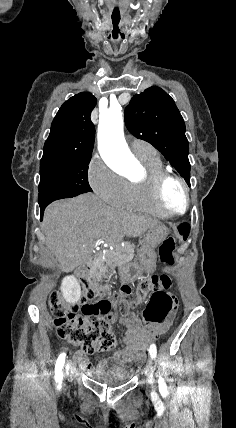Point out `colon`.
<instances>
[{
  "label": "colon",
  "instance_id": "obj_1",
  "mask_svg": "<svg viewBox=\"0 0 236 428\" xmlns=\"http://www.w3.org/2000/svg\"><path fill=\"white\" fill-rule=\"evenodd\" d=\"M175 246L176 239L172 236L163 241L159 248L162 263L174 264ZM79 284L82 289L80 303H65L60 291H53L49 296L57 335L88 354L111 351L116 345L111 329L112 309L115 304L122 308L128 307L133 290L130 286L123 285L111 299L106 286L81 278ZM171 286L172 282L167 275H153L137 285L135 296L138 300L151 294L142 315L146 324H162L173 320L178 304L175 297L166 292ZM79 310L81 315L77 313Z\"/></svg>",
  "mask_w": 236,
  "mask_h": 428
}]
</instances>
